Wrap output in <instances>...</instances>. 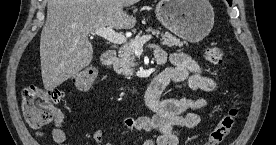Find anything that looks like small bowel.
Returning a JSON list of instances; mask_svg holds the SVG:
<instances>
[{
    "label": "small bowel",
    "instance_id": "c3829d8e",
    "mask_svg": "<svg viewBox=\"0 0 276 145\" xmlns=\"http://www.w3.org/2000/svg\"><path fill=\"white\" fill-rule=\"evenodd\" d=\"M156 57L169 59L172 66L160 75L169 82L187 83L192 90L214 91L216 82L201 73L199 64L183 52L167 54L163 49L155 51ZM163 89L154 86V80L148 85L144 94L146 107L153 112L152 116L126 117L123 124L132 132L145 131L151 133L143 145H178L179 132L197 126L200 116L196 112L204 106L203 99L162 98ZM64 116L55 112L52 138L57 145H66L67 136L63 129ZM105 128L93 131L91 138L97 145H104ZM43 137L42 133H38Z\"/></svg>",
    "mask_w": 276,
    "mask_h": 145
}]
</instances>
